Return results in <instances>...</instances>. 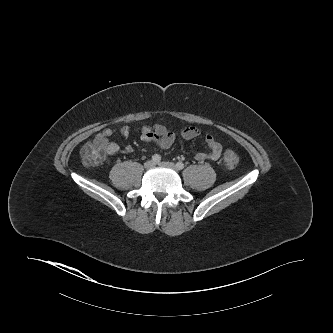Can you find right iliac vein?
I'll use <instances>...</instances> for the list:
<instances>
[{"mask_svg":"<svg viewBox=\"0 0 333 333\" xmlns=\"http://www.w3.org/2000/svg\"><path fill=\"white\" fill-rule=\"evenodd\" d=\"M155 166V163L152 160L145 162L144 167L146 169H152Z\"/></svg>","mask_w":333,"mask_h":333,"instance_id":"1","label":"right iliac vein"}]
</instances>
